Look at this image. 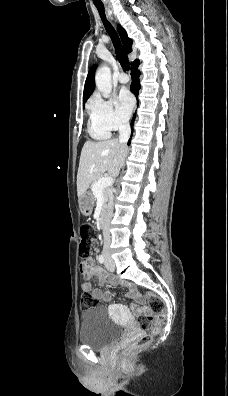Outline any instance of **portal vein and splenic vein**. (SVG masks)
Segmentation results:
<instances>
[{"label":"portal vein and splenic vein","instance_id":"obj_1","mask_svg":"<svg viewBox=\"0 0 228 396\" xmlns=\"http://www.w3.org/2000/svg\"><path fill=\"white\" fill-rule=\"evenodd\" d=\"M113 184V178L112 177H103L100 178L97 183L95 184L93 188V192L97 193L99 191H102L103 188L111 186Z\"/></svg>","mask_w":228,"mask_h":396}]
</instances>
